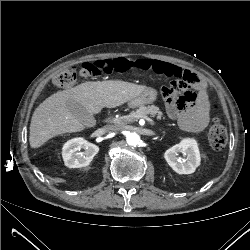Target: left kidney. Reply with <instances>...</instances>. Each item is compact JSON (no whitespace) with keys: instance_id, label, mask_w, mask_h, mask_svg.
Listing matches in <instances>:
<instances>
[{"instance_id":"left-kidney-1","label":"left kidney","mask_w":250,"mask_h":250,"mask_svg":"<svg viewBox=\"0 0 250 250\" xmlns=\"http://www.w3.org/2000/svg\"><path fill=\"white\" fill-rule=\"evenodd\" d=\"M179 153L186 155V159L179 157ZM165 160L178 174L194 173L200 165V153L195 139H183L179 144L166 150Z\"/></svg>"}]
</instances>
